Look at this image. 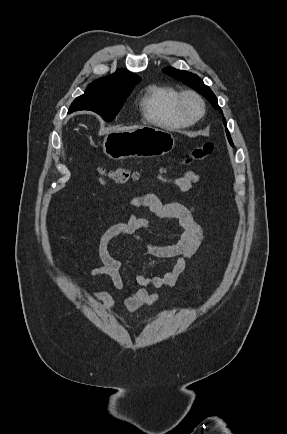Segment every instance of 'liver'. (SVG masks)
I'll return each mask as SVG.
<instances>
[{"label":"liver","instance_id":"6515ba94","mask_svg":"<svg viewBox=\"0 0 287 434\" xmlns=\"http://www.w3.org/2000/svg\"><path fill=\"white\" fill-rule=\"evenodd\" d=\"M139 127H141V126L122 127V128L115 129V130H133V129H136V128H139Z\"/></svg>","mask_w":287,"mask_h":434}]
</instances>
